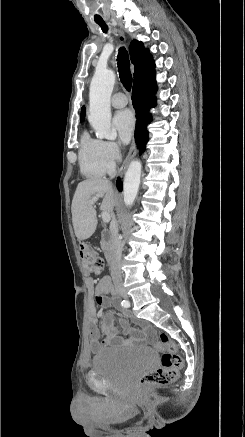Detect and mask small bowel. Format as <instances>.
<instances>
[{
    "label": "small bowel",
    "mask_w": 245,
    "mask_h": 437,
    "mask_svg": "<svg viewBox=\"0 0 245 437\" xmlns=\"http://www.w3.org/2000/svg\"><path fill=\"white\" fill-rule=\"evenodd\" d=\"M85 284L88 289H95V300L98 306L108 307L111 305V300L107 296L112 289V284L109 278L105 277L98 283L93 278H87L85 280ZM119 321L123 332L130 336L129 340H125L119 334V331L115 325V316L112 313H104L101 315L99 322L96 310H91L88 329L92 352L99 353L103 349L118 347L133 341H141L152 335L147 327H144L142 330H140L132 328L127 320L123 318H121ZM101 332H103L105 335L103 340H100Z\"/></svg>",
    "instance_id": "1"
}]
</instances>
